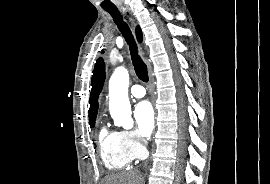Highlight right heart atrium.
<instances>
[{
	"instance_id": "d8ad5b80",
	"label": "right heart atrium",
	"mask_w": 270,
	"mask_h": 184,
	"mask_svg": "<svg viewBox=\"0 0 270 184\" xmlns=\"http://www.w3.org/2000/svg\"><path fill=\"white\" fill-rule=\"evenodd\" d=\"M122 141L130 155L135 158H140L145 153L144 143L135 131L123 130L120 131Z\"/></svg>"
}]
</instances>
